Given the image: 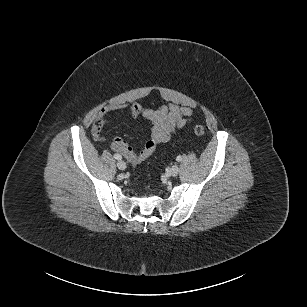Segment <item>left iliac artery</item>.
Segmentation results:
<instances>
[{
    "label": "left iliac artery",
    "instance_id": "1",
    "mask_svg": "<svg viewBox=\"0 0 307 307\" xmlns=\"http://www.w3.org/2000/svg\"><path fill=\"white\" fill-rule=\"evenodd\" d=\"M176 160H177L178 162L182 161V156H180V155L177 156Z\"/></svg>",
    "mask_w": 307,
    "mask_h": 307
}]
</instances>
